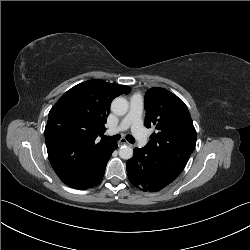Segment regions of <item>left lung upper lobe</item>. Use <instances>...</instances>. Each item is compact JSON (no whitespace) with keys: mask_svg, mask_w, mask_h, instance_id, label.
<instances>
[{"mask_svg":"<svg viewBox=\"0 0 250 250\" xmlns=\"http://www.w3.org/2000/svg\"><path fill=\"white\" fill-rule=\"evenodd\" d=\"M145 126H155L147 147L153 155L171 156L184 167L195 149L196 131L185 103L164 88H151L145 94Z\"/></svg>","mask_w":250,"mask_h":250,"instance_id":"5c2ea615","label":"left lung upper lobe"}]
</instances>
